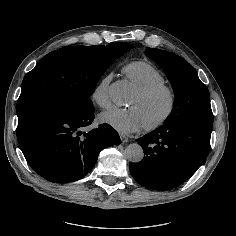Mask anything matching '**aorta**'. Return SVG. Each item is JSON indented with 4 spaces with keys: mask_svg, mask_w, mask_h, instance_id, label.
Instances as JSON below:
<instances>
[{
    "mask_svg": "<svg viewBox=\"0 0 236 236\" xmlns=\"http://www.w3.org/2000/svg\"><path fill=\"white\" fill-rule=\"evenodd\" d=\"M126 158L132 162H140L144 157V151L138 143L129 144L125 149Z\"/></svg>",
    "mask_w": 236,
    "mask_h": 236,
    "instance_id": "762f6f07",
    "label": "aorta"
}]
</instances>
